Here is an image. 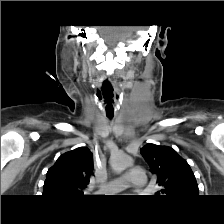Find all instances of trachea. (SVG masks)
<instances>
[{
	"mask_svg": "<svg viewBox=\"0 0 224 224\" xmlns=\"http://www.w3.org/2000/svg\"><path fill=\"white\" fill-rule=\"evenodd\" d=\"M110 120L113 118V116H107Z\"/></svg>",
	"mask_w": 224,
	"mask_h": 224,
	"instance_id": "3493384b",
	"label": "trachea"
}]
</instances>
